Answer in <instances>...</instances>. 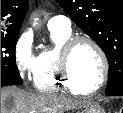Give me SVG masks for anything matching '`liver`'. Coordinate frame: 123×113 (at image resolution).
<instances>
[{"label": "liver", "mask_w": 123, "mask_h": 113, "mask_svg": "<svg viewBox=\"0 0 123 113\" xmlns=\"http://www.w3.org/2000/svg\"><path fill=\"white\" fill-rule=\"evenodd\" d=\"M63 95L35 94L17 87L1 88V113H64L81 107Z\"/></svg>", "instance_id": "1"}]
</instances>
